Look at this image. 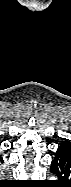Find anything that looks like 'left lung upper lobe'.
<instances>
[{
  "label": "left lung upper lobe",
  "mask_w": 71,
  "mask_h": 187,
  "mask_svg": "<svg viewBox=\"0 0 71 187\" xmlns=\"http://www.w3.org/2000/svg\"><path fill=\"white\" fill-rule=\"evenodd\" d=\"M61 144L71 145V143H69V142H62Z\"/></svg>",
  "instance_id": "1"
}]
</instances>
